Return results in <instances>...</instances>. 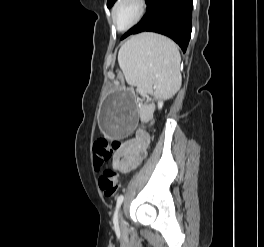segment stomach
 Returning a JSON list of instances; mask_svg holds the SVG:
<instances>
[{
	"mask_svg": "<svg viewBox=\"0 0 264 247\" xmlns=\"http://www.w3.org/2000/svg\"><path fill=\"white\" fill-rule=\"evenodd\" d=\"M137 103L131 90L114 92L106 97L100 112L102 128L110 136V141H121V136H131L138 123Z\"/></svg>",
	"mask_w": 264,
	"mask_h": 247,
	"instance_id": "0dacf381",
	"label": "stomach"
}]
</instances>
